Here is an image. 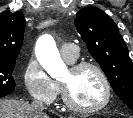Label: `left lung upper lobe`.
<instances>
[{"label": "left lung upper lobe", "mask_w": 133, "mask_h": 118, "mask_svg": "<svg viewBox=\"0 0 133 118\" xmlns=\"http://www.w3.org/2000/svg\"><path fill=\"white\" fill-rule=\"evenodd\" d=\"M75 26L118 97L133 110V64L115 22L101 9L85 7Z\"/></svg>", "instance_id": "1"}]
</instances>
